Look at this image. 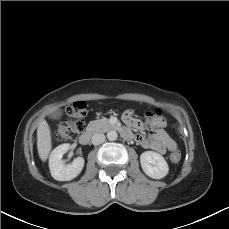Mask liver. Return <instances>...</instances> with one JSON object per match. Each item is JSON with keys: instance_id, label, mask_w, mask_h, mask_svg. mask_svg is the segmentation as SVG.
Wrapping results in <instances>:
<instances>
[{"instance_id": "6515ba94", "label": "liver", "mask_w": 229, "mask_h": 229, "mask_svg": "<svg viewBox=\"0 0 229 229\" xmlns=\"http://www.w3.org/2000/svg\"><path fill=\"white\" fill-rule=\"evenodd\" d=\"M52 149L51 130L46 120L42 119L37 128V150L40 159L45 162Z\"/></svg>"}]
</instances>
